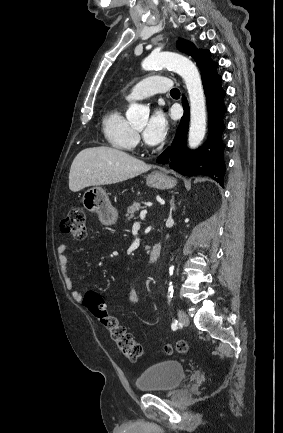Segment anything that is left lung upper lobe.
<instances>
[{
	"label": "left lung upper lobe",
	"instance_id": "obj_1",
	"mask_svg": "<svg viewBox=\"0 0 283 433\" xmlns=\"http://www.w3.org/2000/svg\"><path fill=\"white\" fill-rule=\"evenodd\" d=\"M177 48L180 51L191 55L194 59H196L202 52H204L203 50L201 51L196 50L192 43L183 39H179L177 43Z\"/></svg>",
	"mask_w": 283,
	"mask_h": 433
}]
</instances>
